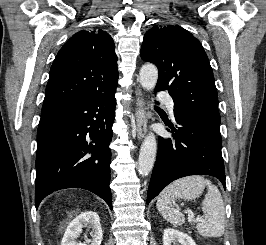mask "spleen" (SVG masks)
<instances>
[{
	"mask_svg": "<svg viewBox=\"0 0 266 245\" xmlns=\"http://www.w3.org/2000/svg\"><path fill=\"white\" fill-rule=\"evenodd\" d=\"M205 187L208 191L202 201L204 217L196 225V229L202 237H222L225 233V207L222 195L217 187L204 177L192 175L174 181L160 193L156 207L163 219L175 227H181L185 223V217L177 209H171L172 201L176 199L194 201L202 195Z\"/></svg>",
	"mask_w": 266,
	"mask_h": 245,
	"instance_id": "1",
	"label": "spleen"
}]
</instances>
